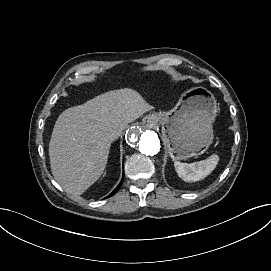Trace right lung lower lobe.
Returning a JSON list of instances; mask_svg holds the SVG:
<instances>
[{"label":"right lung lower lobe","instance_id":"98d812e1","mask_svg":"<svg viewBox=\"0 0 271 271\" xmlns=\"http://www.w3.org/2000/svg\"><path fill=\"white\" fill-rule=\"evenodd\" d=\"M122 182H123V178H122L121 182L119 183V185L116 187V189H115L108 197L113 196V195L119 190V188H120L121 185H122Z\"/></svg>","mask_w":271,"mask_h":271}]
</instances>
